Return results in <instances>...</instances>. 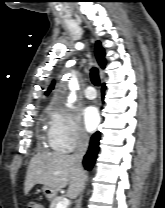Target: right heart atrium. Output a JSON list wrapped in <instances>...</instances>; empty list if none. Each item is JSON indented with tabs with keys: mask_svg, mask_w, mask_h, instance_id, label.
<instances>
[{
	"mask_svg": "<svg viewBox=\"0 0 165 208\" xmlns=\"http://www.w3.org/2000/svg\"><path fill=\"white\" fill-rule=\"evenodd\" d=\"M49 116L48 142L54 151L66 154L86 144L88 136L77 116L58 106L50 109Z\"/></svg>",
	"mask_w": 165,
	"mask_h": 208,
	"instance_id": "right-heart-atrium-1",
	"label": "right heart atrium"
}]
</instances>
